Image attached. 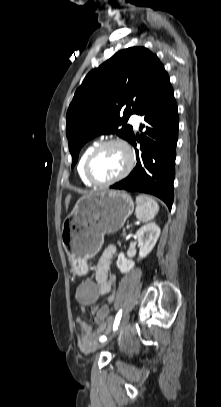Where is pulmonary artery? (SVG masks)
<instances>
[{
	"label": "pulmonary artery",
	"instance_id": "e3ab8cb5",
	"mask_svg": "<svg viewBox=\"0 0 221 407\" xmlns=\"http://www.w3.org/2000/svg\"><path fill=\"white\" fill-rule=\"evenodd\" d=\"M130 122L133 124V126L135 127V128H137L138 127V125H139V122H140V117L138 116V115H132L131 117H130Z\"/></svg>",
	"mask_w": 221,
	"mask_h": 407
}]
</instances>
